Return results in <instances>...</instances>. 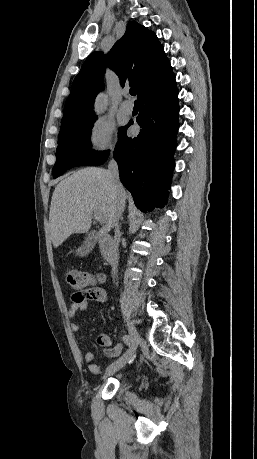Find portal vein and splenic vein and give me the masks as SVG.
<instances>
[{
    "label": "portal vein and splenic vein",
    "instance_id": "18ae733b",
    "mask_svg": "<svg viewBox=\"0 0 257 459\" xmlns=\"http://www.w3.org/2000/svg\"><path fill=\"white\" fill-rule=\"evenodd\" d=\"M94 217L96 221L101 222V223L104 222V218L102 217V215L96 211H94Z\"/></svg>",
    "mask_w": 257,
    "mask_h": 459
}]
</instances>
